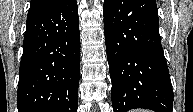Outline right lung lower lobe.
<instances>
[{"mask_svg":"<svg viewBox=\"0 0 193 112\" xmlns=\"http://www.w3.org/2000/svg\"><path fill=\"white\" fill-rule=\"evenodd\" d=\"M80 33L76 0L27 17L18 112H77Z\"/></svg>","mask_w":193,"mask_h":112,"instance_id":"right-lung-lower-lobe-1","label":"right lung lower lobe"}]
</instances>
